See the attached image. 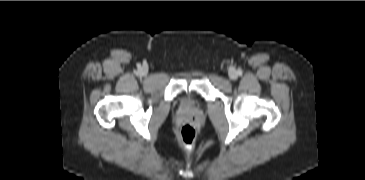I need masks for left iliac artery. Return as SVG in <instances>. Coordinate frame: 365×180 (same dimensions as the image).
<instances>
[{"label": "left iliac artery", "mask_w": 365, "mask_h": 180, "mask_svg": "<svg viewBox=\"0 0 365 180\" xmlns=\"http://www.w3.org/2000/svg\"><path fill=\"white\" fill-rule=\"evenodd\" d=\"M238 75H242V71L241 70H238Z\"/></svg>", "instance_id": "1"}]
</instances>
